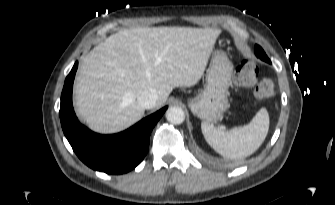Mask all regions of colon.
<instances>
[{"mask_svg": "<svg viewBox=\"0 0 335 205\" xmlns=\"http://www.w3.org/2000/svg\"><path fill=\"white\" fill-rule=\"evenodd\" d=\"M234 81L241 87L252 88L254 95L261 99L272 98L275 94V86L271 79L258 81V68L251 61H244L237 67Z\"/></svg>", "mask_w": 335, "mask_h": 205, "instance_id": "obj_1", "label": "colon"}]
</instances>
